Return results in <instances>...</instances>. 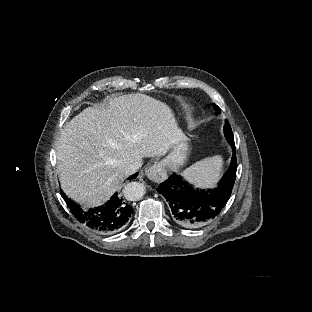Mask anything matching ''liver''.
<instances>
[{
	"label": "liver",
	"instance_id": "6515ba94",
	"mask_svg": "<svg viewBox=\"0 0 312 312\" xmlns=\"http://www.w3.org/2000/svg\"><path fill=\"white\" fill-rule=\"evenodd\" d=\"M181 135L171 109L145 95L87 108L56 140L62 187L85 209L100 205L122 184L133 161L167 155Z\"/></svg>",
	"mask_w": 312,
	"mask_h": 312
}]
</instances>
